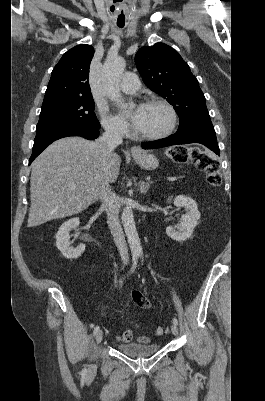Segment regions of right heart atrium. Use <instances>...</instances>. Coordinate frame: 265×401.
<instances>
[{
	"label": "right heart atrium",
	"instance_id": "1",
	"mask_svg": "<svg viewBox=\"0 0 265 401\" xmlns=\"http://www.w3.org/2000/svg\"><path fill=\"white\" fill-rule=\"evenodd\" d=\"M100 122L105 133L112 137H123L129 134L128 125L121 119L109 115L105 107L100 108Z\"/></svg>",
	"mask_w": 265,
	"mask_h": 401
}]
</instances>
